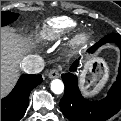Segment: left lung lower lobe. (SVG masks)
I'll return each instance as SVG.
<instances>
[{
  "label": "left lung lower lobe",
  "mask_w": 121,
  "mask_h": 121,
  "mask_svg": "<svg viewBox=\"0 0 121 121\" xmlns=\"http://www.w3.org/2000/svg\"><path fill=\"white\" fill-rule=\"evenodd\" d=\"M115 43L121 50V35L111 33L103 37L93 45L88 53H94L100 46L106 43ZM78 60L70 67V72L62 74L65 84L64 96L60 101L62 113L71 121H104L116 114L121 108V62L117 80L112 85L106 98L100 101L85 99L78 88L77 70Z\"/></svg>",
  "instance_id": "1"
}]
</instances>
